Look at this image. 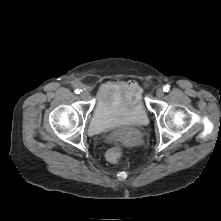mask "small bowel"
<instances>
[{"mask_svg":"<svg viewBox=\"0 0 221 221\" xmlns=\"http://www.w3.org/2000/svg\"><path fill=\"white\" fill-rule=\"evenodd\" d=\"M102 90L110 91L113 94H121L124 99L132 104L140 97V87L135 81H122L118 83H107Z\"/></svg>","mask_w":221,"mask_h":221,"instance_id":"c3829d8e","label":"small bowel"}]
</instances>
